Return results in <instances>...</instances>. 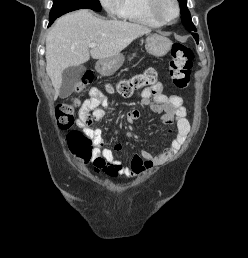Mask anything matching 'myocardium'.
<instances>
[{"label": "myocardium", "mask_w": 248, "mask_h": 258, "mask_svg": "<svg viewBox=\"0 0 248 258\" xmlns=\"http://www.w3.org/2000/svg\"><path fill=\"white\" fill-rule=\"evenodd\" d=\"M158 2L159 0H148V10L150 15L160 24L168 25L177 21L180 16V4L178 0H172L175 5V16L172 19L164 18L158 11Z\"/></svg>", "instance_id": "myocardium-1"}]
</instances>
